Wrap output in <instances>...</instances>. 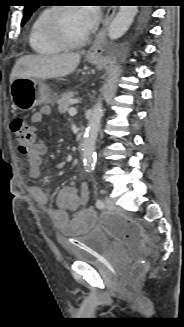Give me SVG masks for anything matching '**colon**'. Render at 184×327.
<instances>
[{"instance_id": "1", "label": "colon", "mask_w": 184, "mask_h": 327, "mask_svg": "<svg viewBox=\"0 0 184 327\" xmlns=\"http://www.w3.org/2000/svg\"><path fill=\"white\" fill-rule=\"evenodd\" d=\"M11 131L17 147L21 153H29L36 144V130L23 118H15L11 122ZM101 221L116 239L136 245L143 243L145 237L140 227L131 219L122 216L103 215ZM146 270V263L138 261L134 267V274L139 277Z\"/></svg>"}]
</instances>
